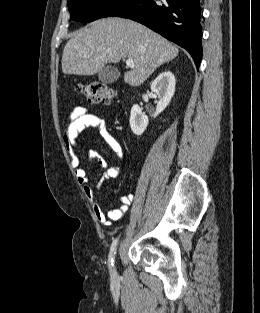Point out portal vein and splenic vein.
Instances as JSON below:
<instances>
[{"mask_svg": "<svg viewBox=\"0 0 260 313\" xmlns=\"http://www.w3.org/2000/svg\"><path fill=\"white\" fill-rule=\"evenodd\" d=\"M126 65L130 68H133L134 67V62L132 59H127L126 60Z\"/></svg>", "mask_w": 260, "mask_h": 313, "instance_id": "1", "label": "portal vein and splenic vein"}]
</instances>
